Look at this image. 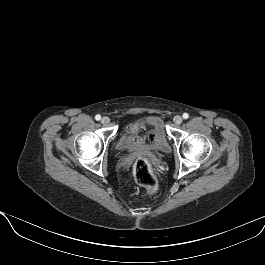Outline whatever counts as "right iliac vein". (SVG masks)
Listing matches in <instances>:
<instances>
[{
  "mask_svg": "<svg viewBox=\"0 0 265 265\" xmlns=\"http://www.w3.org/2000/svg\"><path fill=\"white\" fill-rule=\"evenodd\" d=\"M109 122H110V119L106 116L101 119V123L104 125H107Z\"/></svg>",
  "mask_w": 265,
  "mask_h": 265,
  "instance_id": "1",
  "label": "right iliac vein"
}]
</instances>
